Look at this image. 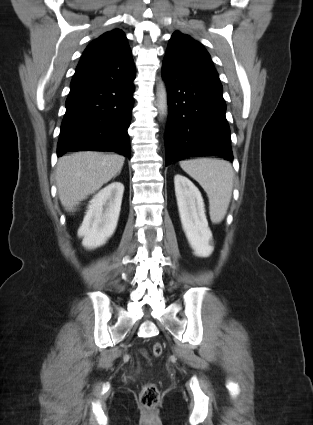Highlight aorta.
Returning <instances> with one entry per match:
<instances>
[{"instance_id": "1", "label": "aorta", "mask_w": 313, "mask_h": 425, "mask_svg": "<svg viewBox=\"0 0 313 425\" xmlns=\"http://www.w3.org/2000/svg\"><path fill=\"white\" fill-rule=\"evenodd\" d=\"M158 108L165 114L167 110V90L164 82H160L157 88Z\"/></svg>"}]
</instances>
